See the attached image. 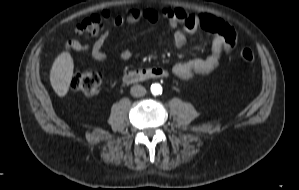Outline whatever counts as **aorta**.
Here are the masks:
<instances>
[{
  "label": "aorta",
  "mask_w": 299,
  "mask_h": 190,
  "mask_svg": "<svg viewBox=\"0 0 299 190\" xmlns=\"http://www.w3.org/2000/svg\"><path fill=\"white\" fill-rule=\"evenodd\" d=\"M151 92L152 94L154 95H159V94H162V87L160 84H152L151 85Z\"/></svg>",
  "instance_id": "762f6f07"
}]
</instances>
